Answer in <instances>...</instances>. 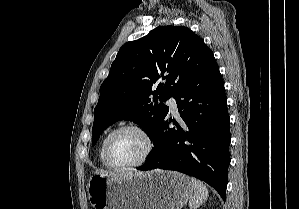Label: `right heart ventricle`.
<instances>
[{
  "label": "right heart ventricle",
  "instance_id": "e07e8e85",
  "mask_svg": "<svg viewBox=\"0 0 299 209\" xmlns=\"http://www.w3.org/2000/svg\"><path fill=\"white\" fill-rule=\"evenodd\" d=\"M115 129L114 128H111L109 129L103 136L101 142H100V145H99V149H98V159H99V162L100 164L106 166V163H105V160H104V149H105V144H106V141L109 137V135L114 131Z\"/></svg>",
  "mask_w": 299,
  "mask_h": 209
}]
</instances>
